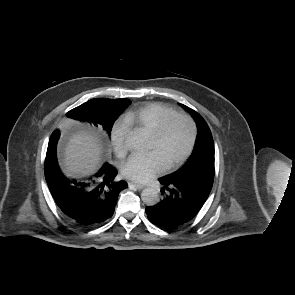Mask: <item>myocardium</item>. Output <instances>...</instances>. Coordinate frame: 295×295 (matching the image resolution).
Segmentation results:
<instances>
[{"mask_svg":"<svg viewBox=\"0 0 295 295\" xmlns=\"http://www.w3.org/2000/svg\"><path fill=\"white\" fill-rule=\"evenodd\" d=\"M176 119H184L189 123L190 131H191L190 140H189V144H188L186 150L184 151V153L179 158H177L175 161L166 165L164 168L165 171H171V170L176 169L179 166H181L189 158V156L193 152V149H194L195 143H196V139H197L196 123L191 116L184 114V113H175V114H172V115L166 117L165 119H163L160 122V124L157 126V128L151 133V137L157 141L160 140L163 137V135L165 134L170 123Z\"/></svg>","mask_w":295,"mask_h":295,"instance_id":"obj_1","label":"myocardium"}]
</instances>
